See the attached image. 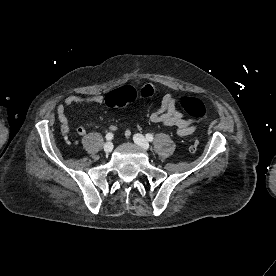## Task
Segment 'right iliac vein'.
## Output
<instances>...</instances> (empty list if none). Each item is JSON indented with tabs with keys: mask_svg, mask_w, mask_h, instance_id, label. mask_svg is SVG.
<instances>
[{
	"mask_svg": "<svg viewBox=\"0 0 276 276\" xmlns=\"http://www.w3.org/2000/svg\"><path fill=\"white\" fill-rule=\"evenodd\" d=\"M103 149L106 153H110L113 149V143L112 142H106L103 146Z\"/></svg>",
	"mask_w": 276,
	"mask_h": 276,
	"instance_id": "1",
	"label": "right iliac vein"
}]
</instances>
